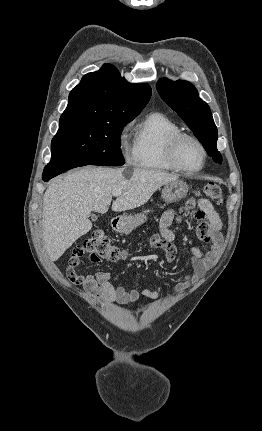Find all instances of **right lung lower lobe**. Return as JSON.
Segmentation results:
<instances>
[{"mask_svg":"<svg viewBox=\"0 0 262 431\" xmlns=\"http://www.w3.org/2000/svg\"><path fill=\"white\" fill-rule=\"evenodd\" d=\"M86 164H64V165H57V166H49L47 165L44 168L42 179L44 181H49L51 178L63 173L64 171H67L69 169L85 166Z\"/></svg>","mask_w":262,"mask_h":431,"instance_id":"98d812e1","label":"right lung lower lobe"}]
</instances>
